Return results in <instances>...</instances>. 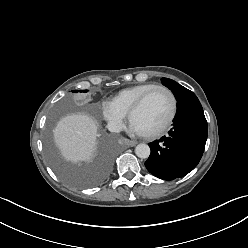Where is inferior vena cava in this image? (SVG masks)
Wrapping results in <instances>:
<instances>
[{"label":"inferior vena cava","instance_id":"1","mask_svg":"<svg viewBox=\"0 0 248 248\" xmlns=\"http://www.w3.org/2000/svg\"><path fill=\"white\" fill-rule=\"evenodd\" d=\"M107 127L110 132L118 133L122 130L121 125L115 122H109Z\"/></svg>","mask_w":248,"mask_h":248}]
</instances>
